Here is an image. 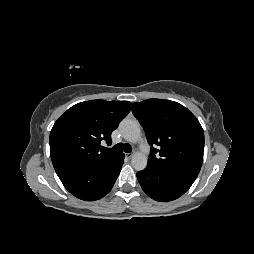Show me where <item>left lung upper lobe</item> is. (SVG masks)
<instances>
[{
	"instance_id": "1",
	"label": "left lung upper lobe",
	"mask_w": 254,
	"mask_h": 254,
	"mask_svg": "<svg viewBox=\"0 0 254 254\" xmlns=\"http://www.w3.org/2000/svg\"><path fill=\"white\" fill-rule=\"evenodd\" d=\"M132 112L151 146L149 162L198 175L203 162L204 132L187 108L170 100L148 99L133 103ZM156 145L159 149L154 148Z\"/></svg>"
}]
</instances>
